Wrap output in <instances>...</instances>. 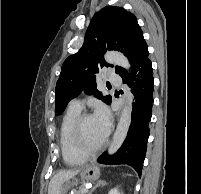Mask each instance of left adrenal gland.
I'll use <instances>...</instances> for the list:
<instances>
[{
  "label": "left adrenal gland",
  "instance_id": "obj_1",
  "mask_svg": "<svg viewBox=\"0 0 201 194\" xmlns=\"http://www.w3.org/2000/svg\"><path fill=\"white\" fill-rule=\"evenodd\" d=\"M104 185H106V182L105 181H102V180H100V181H98L97 183H96V185L92 188V190H91V192L89 193V194H91L95 189H97L98 187H101V186H104Z\"/></svg>",
  "mask_w": 201,
  "mask_h": 194
}]
</instances>
